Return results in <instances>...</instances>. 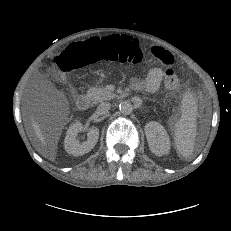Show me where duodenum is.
I'll use <instances>...</instances> for the list:
<instances>
[{
  "instance_id": "obj_1",
  "label": "duodenum",
  "mask_w": 231,
  "mask_h": 231,
  "mask_svg": "<svg viewBox=\"0 0 231 231\" xmlns=\"http://www.w3.org/2000/svg\"><path fill=\"white\" fill-rule=\"evenodd\" d=\"M91 98L88 95L82 94L76 98V106L79 110H86L89 108Z\"/></svg>"
}]
</instances>
